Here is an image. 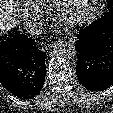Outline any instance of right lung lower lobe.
I'll use <instances>...</instances> for the list:
<instances>
[{"label":"right lung lower lobe","mask_w":113,"mask_h":113,"mask_svg":"<svg viewBox=\"0 0 113 113\" xmlns=\"http://www.w3.org/2000/svg\"><path fill=\"white\" fill-rule=\"evenodd\" d=\"M46 76L45 52L35 39L16 29L0 37V83L20 99H32L43 88Z\"/></svg>","instance_id":"1"}]
</instances>
